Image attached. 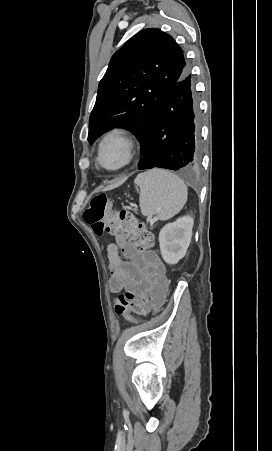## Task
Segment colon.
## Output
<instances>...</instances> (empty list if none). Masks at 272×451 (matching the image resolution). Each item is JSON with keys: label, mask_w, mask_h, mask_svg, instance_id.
I'll use <instances>...</instances> for the list:
<instances>
[{"label": "colon", "mask_w": 272, "mask_h": 451, "mask_svg": "<svg viewBox=\"0 0 272 451\" xmlns=\"http://www.w3.org/2000/svg\"><path fill=\"white\" fill-rule=\"evenodd\" d=\"M81 216L94 233H109L113 239H122V248H129L131 245L147 246L150 243V231L146 230L144 224L136 221L126 209L112 211V202L106 193L94 194L90 198L89 207L82 211ZM110 304L118 314L144 313L147 310L144 298L131 291L112 298Z\"/></svg>", "instance_id": "1"}]
</instances>
